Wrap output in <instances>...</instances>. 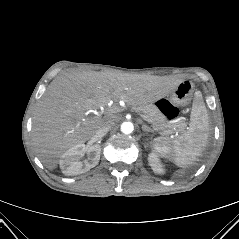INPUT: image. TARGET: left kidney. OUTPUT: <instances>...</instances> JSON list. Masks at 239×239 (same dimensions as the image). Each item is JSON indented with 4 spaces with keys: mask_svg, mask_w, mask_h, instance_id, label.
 Segmentation results:
<instances>
[{
    "mask_svg": "<svg viewBox=\"0 0 239 239\" xmlns=\"http://www.w3.org/2000/svg\"><path fill=\"white\" fill-rule=\"evenodd\" d=\"M148 161L149 165L151 166L152 170L157 173V174H163L164 173V168L162 164L159 161L158 155L155 151H152L148 155Z\"/></svg>",
    "mask_w": 239,
    "mask_h": 239,
    "instance_id": "5707ae66",
    "label": "left kidney"
}]
</instances>
